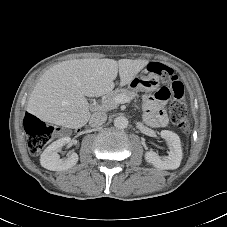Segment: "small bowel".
I'll use <instances>...</instances> for the list:
<instances>
[{"mask_svg": "<svg viewBox=\"0 0 227 227\" xmlns=\"http://www.w3.org/2000/svg\"><path fill=\"white\" fill-rule=\"evenodd\" d=\"M170 98L171 91L166 86H159L155 89L154 95H146L144 97L145 119L150 126L160 127L167 123L163 105Z\"/></svg>", "mask_w": 227, "mask_h": 227, "instance_id": "1", "label": "small bowel"}]
</instances>
